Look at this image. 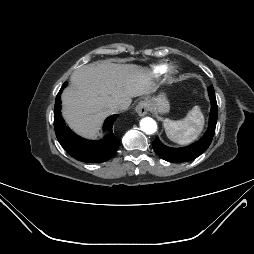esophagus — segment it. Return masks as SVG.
Masks as SVG:
<instances>
[{"mask_svg":"<svg viewBox=\"0 0 254 254\" xmlns=\"http://www.w3.org/2000/svg\"><path fill=\"white\" fill-rule=\"evenodd\" d=\"M135 110L140 116H144L149 113L150 104L147 100H142L137 104Z\"/></svg>","mask_w":254,"mask_h":254,"instance_id":"34e87169","label":"esophagus"}]
</instances>
